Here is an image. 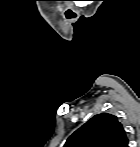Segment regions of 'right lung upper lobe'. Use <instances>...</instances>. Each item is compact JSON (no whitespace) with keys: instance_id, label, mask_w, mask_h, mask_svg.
Wrapping results in <instances>:
<instances>
[{"instance_id":"right-lung-upper-lobe-1","label":"right lung upper lobe","mask_w":140,"mask_h":147,"mask_svg":"<svg viewBox=\"0 0 140 147\" xmlns=\"http://www.w3.org/2000/svg\"><path fill=\"white\" fill-rule=\"evenodd\" d=\"M64 147H128V138L116 116L101 113L76 130Z\"/></svg>"}]
</instances>
